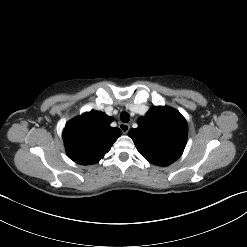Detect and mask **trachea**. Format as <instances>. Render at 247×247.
Here are the masks:
<instances>
[{
	"mask_svg": "<svg viewBox=\"0 0 247 247\" xmlns=\"http://www.w3.org/2000/svg\"><path fill=\"white\" fill-rule=\"evenodd\" d=\"M120 120L124 123H127L130 120V115L127 112H122L120 114Z\"/></svg>",
	"mask_w": 247,
	"mask_h": 247,
	"instance_id": "obj_1",
	"label": "trachea"
}]
</instances>
